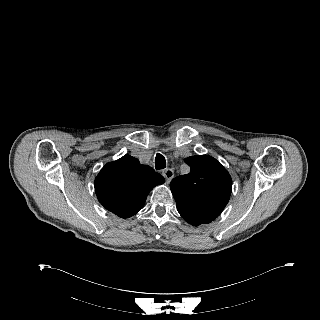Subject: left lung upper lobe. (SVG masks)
<instances>
[{
	"label": "left lung upper lobe",
	"mask_w": 320,
	"mask_h": 320,
	"mask_svg": "<svg viewBox=\"0 0 320 320\" xmlns=\"http://www.w3.org/2000/svg\"><path fill=\"white\" fill-rule=\"evenodd\" d=\"M185 162L191 168L190 173L178 176L170 183L176 204L216 218L229 201L231 176L215 158L208 155L188 157Z\"/></svg>",
	"instance_id": "left-lung-upper-lobe-1"
}]
</instances>
